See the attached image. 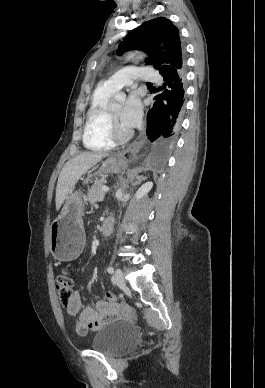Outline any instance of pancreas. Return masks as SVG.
Instances as JSON below:
<instances>
[{
	"instance_id": "pancreas-1",
	"label": "pancreas",
	"mask_w": 265,
	"mask_h": 388,
	"mask_svg": "<svg viewBox=\"0 0 265 388\" xmlns=\"http://www.w3.org/2000/svg\"><path fill=\"white\" fill-rule=\"evenodd\" d=\"M104 184V180H97L93 186H91V190H89L87 194L86 200L94 204V202H103L105 192L102 190V186Z\"/></svg>"
}]
</instances>
